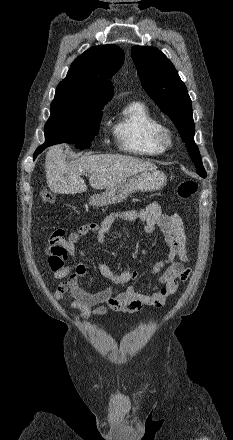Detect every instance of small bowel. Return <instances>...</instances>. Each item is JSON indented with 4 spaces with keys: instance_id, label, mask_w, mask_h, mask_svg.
Listing matches in <instances>:
<instances>
[{
    "instance_id": "small-bowel-1",
    "label": "small bowel",
    "mask_w": 233,
    "mask_h": 440,
    "mask_svg": "<svg viewBox=\"0 0 233 440\" xmlns=\"http://www.w3.org/2000/svg\"><path fill=\"white\" fill-rule=\"evenodd\" d=\"M144 223L146 233H153L157 228L164 235L168 248L167 255L156 261L150 269L152 275L159 276L161 286L152 294L142 293L129 286L125 290L113 294L111 290L89 292L81 287L80 279L87 272L86 266L77 259L75 248L83 237L93 234L98 244H104L106 235L116 221ZM62 228L56 229L50 236L45 253L47 264L55 279L66 278L54 293L56 299L69 301L72 307L78 309L82 319L91 316H104L109 311L135 314L145 306L163 307L168 297L177 292L180 283L185 282L190 275L186 235L181 217L174 214H164L157 202H151L139 210L117 211L108 214L101 223L83 224L67 238ZM84 255V251H80ZM64 259L69 263L64 265ZM63 261V262H62ZM99 273L113 285H125L137 277L135 270H124L115 273L111 268L101 263Z\"/></svg>"
}]
</instances>
